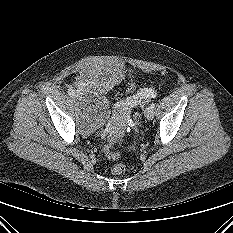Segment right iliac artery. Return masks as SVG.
Returning a JSON list of instances; mask_svg holds the SVG:
<instances>
[{
	"label": "right iliac artery",
	"instance_id": "right-iliac-artery-1",
	"mask_svg": "<svg viewBox=\"0 0 233 233\" xmlns=\"http://www.w3.org/2000/svg\"><path fill=\"white\" fill-rule=\"evenodd\" d=\"M68 93H69V95H71V96L74 95V91H73L72 89H69V90H68Z\"/></svg>",
	"mask_w": 233,
	"mask_h": 233
}]
</instances>
